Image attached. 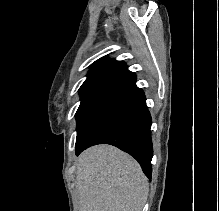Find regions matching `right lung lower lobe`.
Returning <instances> with one entry per match:
<instances>
[{
  "label": "right lung lower lobe",
  "instance_id": "obj_1",
  "mask_svg": "<svg viewBox=\"0 0 219 211\" xmlns=\"http://www.w3.org/2000/svg\"><path fill=\"white\" fill-rule=\"evenodd\" d=\"M151 116L135 74L106 95L76 139V155L96 144H110L129 153L151 179L153 147Z\"/></svg>",
  "mask_w": 219,
  "mask_h": 211
}]
</instances>
